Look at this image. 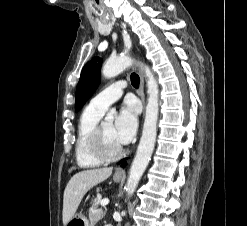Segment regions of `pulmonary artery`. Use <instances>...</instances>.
Listing matches in <instances>:
<instances>
[{
    "instance_id": "e3ab8cb5",
    "label": "pulmonary artery",
    "mask_w": 247,
    "mask_h": 226,
    "mask_svg": "<svg viewBox=\"0 0 247 226\" xmlns=\"http://www.w3.org/2000/svg\"><path fill=\"white\" fill-rule=\"evenodd\" d=\"M125 87L126 83L124 81L112 83L93 97L89 106L101 113H104L112 103L122 96Z\"/></svg>"
}]
</instances>
